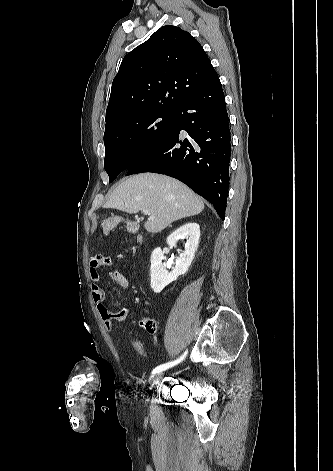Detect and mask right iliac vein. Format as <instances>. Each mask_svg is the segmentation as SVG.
Masks as SVG:
<instances>
[{
	"label": "right iliac vein",
	"mask_w": 333,
	"mask_h": 471,
	"mask_svg": "<svg viewBox=\"0 0 333 471\" xmlns=\"http://www.w3.org/2000/svg\"><path fill=\"white\" fill-rule=\"evenodd\" d=\"M163 373L162 372H158V373H155L153 374L150 379H149V382L150 383H153V382H158L160 380V378L162 377Z\"/></svg>",
	"instance_id": "obj_1"
}]
</instances>
